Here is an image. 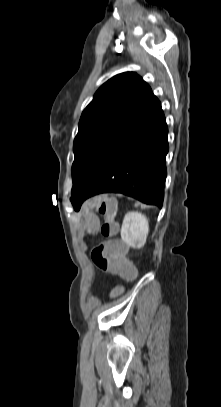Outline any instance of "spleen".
<instances>
[{"label":"spleen","instance_id":"spleen-1","mask_svg":"<svg viewBox=\"0 0 221 407\" xmlns=\"http://www.w3.org/2000/svg\"><path fill=\"white\" fill-rule=\"evenodd\" d=\"M149 234V221L140 212H128L121 228L122 240L133 248H141L145 245Z\"/></svg>","mask_w":221,"mask_h":407}]
</instances>
